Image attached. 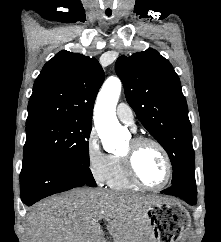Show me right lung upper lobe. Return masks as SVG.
<instances>
[{
  "label": "right lung upper lobe",
  "mask_w": 221,
  "mask_h": 242,
  "mask_svg": "<svg viewBox=\"0 0 221 242\" xmlns=\"http://www.w3.org/2000/svg\"><path fill=\"white\" fill-rule=\"evenodd\" d=\"M103 81L104 72L96 58L60 51L35 80L26 126L57 120L92 121Z\"/></svg>",
  "instance_id": "1"
}]
</instances>
